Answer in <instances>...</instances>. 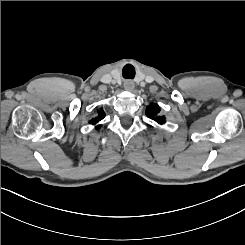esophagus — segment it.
Segmentation results:
<instances>
[{
	"label": "esophagus",
	"mask_w": 245,
	"mask_h": 245,
	"mask_svg": "<svg viewBox=\"0 0 245 245\" xmlns=\"http://www.w3.org/2000/svg\"><path fill=\"white\" fill-rule=\"evenodd\" d=\"M124 88L126 91H133L134 90V83L130 80L124 82Z\"/></svg>",
	"instance_id": "1"
}]
</instances>
